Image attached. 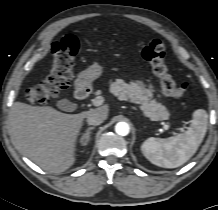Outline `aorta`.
Segmentation results:
<instances>
[{
    "label": "aorta",
    "mask_w": 218,
    "mask_h": 210,
    "mask_svg": "<svg viewBox=\"0 0 218 210\" xmlns=\"http://www.w3.org/2000/svg\"><path fill=\"white\" fill-rule=\"evenodd\" d=\"M115 131L118 135L126 136L129 133V125L126 122H118Z\"/></svg>",
    "instance_id": "762f6f07"
}]
</instances>
